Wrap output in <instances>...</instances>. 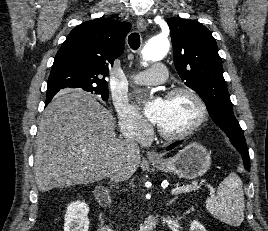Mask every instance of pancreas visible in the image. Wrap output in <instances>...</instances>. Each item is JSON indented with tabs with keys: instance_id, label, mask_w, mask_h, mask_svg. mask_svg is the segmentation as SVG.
I'll return each instance as SVG.
<instances>
[{
	"instance_id": "1",
	"label": "pancreas",
	"mask_w": 268,
	"mask_h": 231,
	"mask_svg": "<svg viewBox=\"0 0 268 231\" xmlns=\"http://www.w3.org/2000/svg\"><path fill=\"white\" fill-rule=\"evenodd\" d=\"M193 186L195 187V189H197V188H198L196 184H194Z\"/></svg>"
}]
</instances>
